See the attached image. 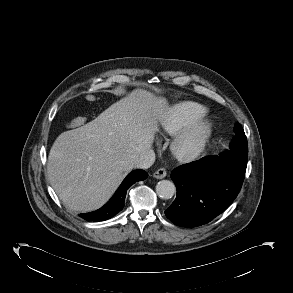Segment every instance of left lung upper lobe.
I'll return each mask as SVG.
<instances>
[{
	"instance_id": "5c2ea615",
	"label": "left lung upper lobe",
	"mask_w": 293,
	"mask_h": 293,
	"mask_svg": "<svg viewBox=\"0 0 293 293\" xmlns=\"http://www.w3.org/2000/svg\"><path fill=\"white\" fill-rule=\"evenodd\" d=\"M234 131L236 132V137L234 138L232 143H236L238 139H247L244 133L243 128L239 123H237L234 127Z\"/></svg>"
}]
</instances>
